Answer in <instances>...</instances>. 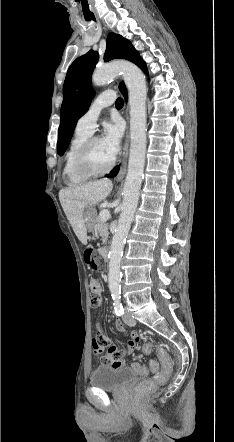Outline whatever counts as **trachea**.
Listing matches in <instances>:
<instances>
[{"instance_id":"1","label":"trachea","mask_w":234,"mask_h":442,"mask_svg":"<svg viewBox=\"0 0 234 442\" xmlns=\"http://www.w3.org/2000/svg\"><path fill=\"white\" fill-rule=\"evenodd\" d=\"M124 104L123 99L122 98H117L115 105L116 107H122Z\"/></svg>"}]
</instances>
